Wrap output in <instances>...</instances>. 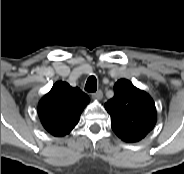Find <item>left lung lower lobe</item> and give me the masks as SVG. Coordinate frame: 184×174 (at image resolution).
Masks as SVG:
<instances>
[{
  "instance_id": "obj_1",
  "label": "left lung lower lobe",
  "mask_w": 184,
  "mask_h": 174,
  "mask_svg": "<svg viewBox=\"0 0 184 174\" xmlns=\"http://www.w3.org/2000/svg\"><path fill=\"white\" fill-rule=\"evenodd\" d=\"M126 142H134V141H126Z\"/></svg>"
}]
</instances>
